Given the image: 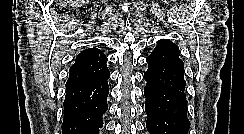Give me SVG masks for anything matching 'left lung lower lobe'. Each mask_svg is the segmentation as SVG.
Listing matches in <instances>:
<instances>
[{
    "label": "left lung lower lobe",
    "mask_w": 244,
    "mask_h": 134,
    "mask_svg": "<svg viewBox=\"0 0 244 134\" xmlns=\"http://www.w3.org/2000/svg\"><path fill=\"white\" fill-rule=\"evenodd\" d=\"M146 127L150 134H188L185 87H164L146 71Z\"/></svg>",
    "instance_id": "left-lung-lower-lobe-1"
}]
</instances>
